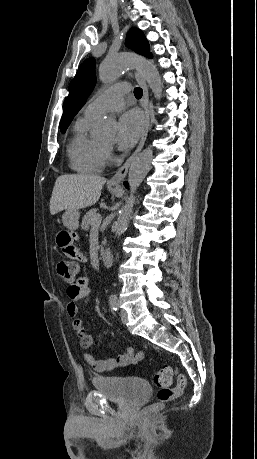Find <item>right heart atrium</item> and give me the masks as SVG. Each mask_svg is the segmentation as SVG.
I'll return each mask as SVG.
<instances>
[{
	"label": "right heart atrium",
	"instance_id": "obj_1",
	"mask_svg": "<svg viewBox=\"0 0 257 459\" xmlns=\"http://www.w3.org/2000/svg\"><path fill=\"white\" fill-rule=\"evenodd\" d=\"M112 156H113L112 148L109 147V146L104 147V158H105V161L111 160Z\"/></svg>",
	"mask_w": 257,
	"mask_h": 459
}]
</instances>
